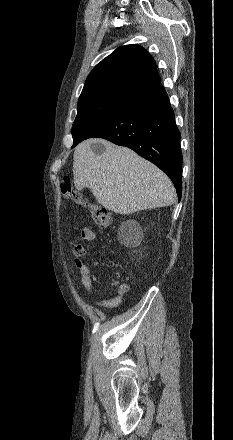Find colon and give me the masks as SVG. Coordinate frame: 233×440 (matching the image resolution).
I'll return each mask as SVG.
<instances>
[{
	"label": "colon",
	"mask_w": 233,
	"mask_h": 440,
	"mask_svg": "<svg viewBox=\"0 0 233 440\" xmlns=\"http://www.w3.org/2000/svg\"><path fill=\"white\" fill-rule=\"evenodd\" d=\"M60 189L65 198H68L86 208L99 228L107 229L111 227L113 219L109 211L101 206L92 204L83 199L76 191L73 190L69 177H64L61 180Z\"/></svg>",
	"instance_id": "5ec220e1"
}]
</instances>
